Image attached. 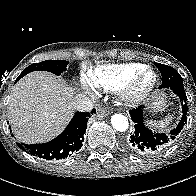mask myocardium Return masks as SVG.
<instances>
[{"mask_svg": "<svg viewBox=\"0 0 196 196\" xmlns=\"http://www.w3.org/2000/svg\"><path fill=\"white\" fill-rule=\"evenodd\" d=\"M147 74H152L153 78L146 87L141 88L140 84ZM158 80L157 72L150 66H144L119 89L121 100L130 106L142 103L151 95Z\"/></svg>", "mask_w": 196, "mask_h": 196, "instance_id": "f54148a6", "label": "myocardium"}]
</instances>
